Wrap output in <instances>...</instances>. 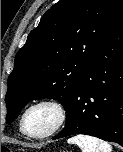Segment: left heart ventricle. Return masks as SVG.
<instances>
[{
  "mask_svg": "<svg viewBox=\"0 0 123 152\" xmlns=\"http://www.w3.org/2000/svg\"><path fill=\"white\" fill-rule=\"evenodd\" d=\"M57 120L56 111L50 106H39L32 109L25 120L28 132L42 134L50 130Z\"/></svg>",
  "mask_w": 123,
  "mask_h": 152,
  "instance_id": "left-heart-ventricle-1",
  "label": "left heart ventricle"
}]
</instances>
